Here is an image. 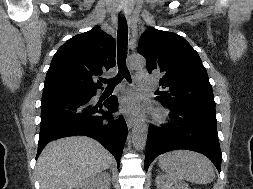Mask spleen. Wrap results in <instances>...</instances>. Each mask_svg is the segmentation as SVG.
Here are the masks:
<instances>
[{"label": "spleen", "mask_w": 253, "mask_h": 189, "mask_svg": "<svg viewBox=\"0 0 253 189\" xmlns=\"http://www.w3.org/2000/svg\"><path fill=\"white\" fill-rule=\"evenodd\" d=\"M159 166L174 180L205 184L212 182L215 177L211 161L202 154L189 150H176L161 155Z\"/></svg>", "instance_id": "1"}]
</instances>
